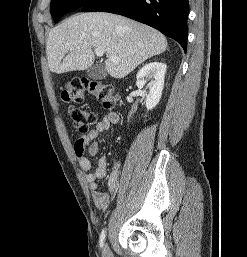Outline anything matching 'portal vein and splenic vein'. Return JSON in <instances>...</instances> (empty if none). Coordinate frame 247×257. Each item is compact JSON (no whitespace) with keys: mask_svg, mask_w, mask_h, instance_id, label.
<instances>
[{"mask_svg":"<svg viewBox=\"0 0 247 257\" xmlns=\"http://www.w3.org/2000/svg\"><path fill=\"white\" fill-rule=\"evenodd\" d=\"M95 53L97 56H103L104 52L100 49H95ZM110 61H118L117 57H109Z\"/></svg>","mask_w":247,"mask_h":257,"instance_id":"portal-vein-and-splenic-vein-1","label":"portal vein and splenic vein"}]
</instances>
